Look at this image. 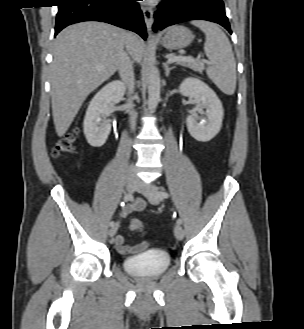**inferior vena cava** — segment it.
I'll list each match as a JSON object with an SVG mask.
<instances>
[{
	"label": "inferior vena cava",
	"instance_id": "inferior-vena-cava-1",
	"mask_svg": "<svg viewBox=\"0 0 304 329\" xmlns=\"http://www.w3.org/2000/svg\"><path fill=\"white\" fill-rule=\"evenodd\" d=\"M129 48L126 46V52H123L120 57V63L118 67L119 75L122 79V83L125 86V89L128 90V95L132 93L135 87V79H134V72L132 67V62L129 57ZM126 108L130 110V127L132 130L135 129L136 125V115L133 109V103L129 99L128 103L126 104ZM131 175H135V170L132 167L130 170Z\"/></svg>",
	"mask_w": 304,
	"mask_h": 329
}]
</instances>
